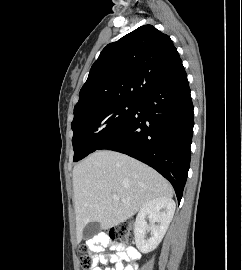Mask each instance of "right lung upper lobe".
I'll use <instances>...</instances> for the list:
<instances>
[{
	"label": "right lung upper lobe",
	"mask_w": 242,
	"mask_h": 270,
	"mask_svg": "<svg viewBox=\"0 0 242 270\" xmlns=\"http://www.w3.org/2000/svg\"><path fill=\"white\" fill-rule=\"evenodd\" d=\"M170 37L144 25L108 44L90 69L74 115L117 100H137L182 67Z\"/></svg>",
	"instance_id": "cb5924a9"
}]
</instances>
